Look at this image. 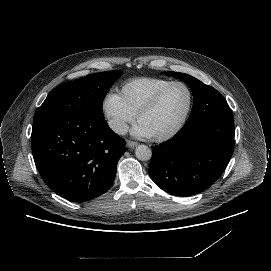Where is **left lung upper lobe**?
I'll return each mask as SVG.
<instances>
[{"mask_svg": "<svg viewBox=\"0 0 271 271\" xmlns=\"http://www.w3.org/2000/svg\"><path fill=\"white\" fill-rule=\"evenodd\" d=\"M164 74L183 80L191 86L194 102L191 115L185 125L192 124L194 121L203 118H233L232 112L224 97L213 87L205 85L198 79L185 73L165 72Z\"/></svg>", "mask_w": 271, "mask_h": 271, "instance_id": "left-lung-upper-lobe-1", "label": "left lung upper lobe"}]
</instances>
